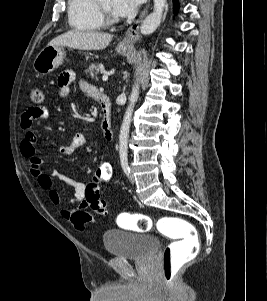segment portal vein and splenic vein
<instances>
[{"label": "portal vein and splenic vein", "instance_id": "18ae733b", "mask_svg": "<svg viewBox=\"0 0 267 301\" xmlns=\"http://www.w3.org/2000/svg\"><path fill=\"white\" fill-rule=\"evenodd\" d=\"M102 80H103V81H108V73H105V74L102 76Z\"/></svg>", "mask_w": 267, "mask_h": 301}]
</instances>
